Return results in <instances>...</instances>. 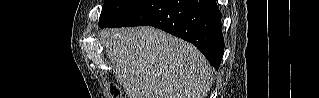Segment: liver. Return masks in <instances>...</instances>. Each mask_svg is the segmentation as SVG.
Listing matches in <instances>:
<instances>
[{
    "label": "liver",
    "instance_id": "obj_1",
    "mask_svg": "<svg viewBox=\"0 0 319 98\" xmlns=\"http://www.w3.org/2000/svg\"><path fill=\"white\" fill-rule=\"evenodd\" d=\"M128 98H205L213 70L192 44L153 27L102 32Z\"/></svg>",
    "mask_w": 319,
    "mask_h": 98
}]
</instances>
